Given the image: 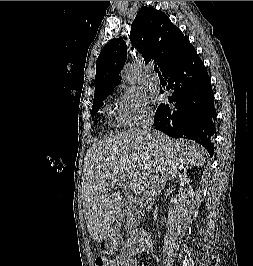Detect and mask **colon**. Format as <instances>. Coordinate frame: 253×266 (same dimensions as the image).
<instances>
[{
    "label": "colon",
    "instance_id": "colon-1",
    "mask_svg": "<svg viewBox=\"0 0 253 266\" xmlns=\"http://www.w3.org/2000/svg\"><path fill=\"white\" fill-rule=\"evenodd\" d=\"M94 266H112V262L104 256H98L95 259Z\"/></svg>",
    "mask_w": 253,
    "mask_h": 266
}]
</instances>
